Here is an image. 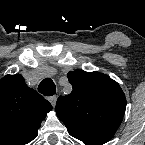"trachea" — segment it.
<instances>
[{
	"mask_svg": "<svg viewBox=\"0 0 145 145\" xmlns=\"http://www.w3.org/2000/svg\"><path fill=\"white\" fill-rule=\"evenodd\" d=\"M38 91L45 96H52L56 93V87L52 79H44L38 86Z\"/></svg>",
	"mask_w": 145,
	"mask_h": 145,
	"instance_id": "1",
	"label": "trachea"
}]
</instances>
